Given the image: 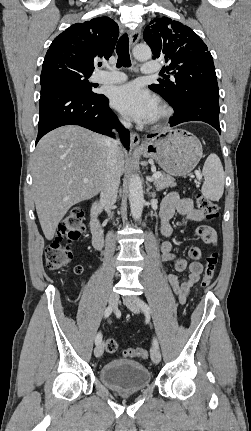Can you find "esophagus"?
<instances>
[{"mask_svg":"<svg viewBox=\"0 0 251 431\" xmlns=\"http://www.w3.org/2000/svg\"><path fill=\"white\" fill-rule=\"evenodd\" d=\"M140 36H141L140 28L133 30L129 36L130 45L131 46L135 45L138 42V40L140 39ZM130 141H131V143H130L131 149H133V150L141 149L140 137L137 133L131 132Z\"/></svg>","mask_w":251,"mask_h":431,"instance_id":"34e87169","label":"esophagus"}]
</instances>
